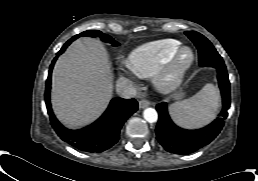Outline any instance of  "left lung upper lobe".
I'll list each match as a JSON object with an SVG mask.
<instances>
[{"mask_svg": "<svg viewBox=\"0 0 258 181\" xmlns=\"http://www.w3.org/2000/svg\"><path fill=\"white\" fill-rule=\"evenodd\" d=\"M185 34L197 47L201 66L225 67L222 57L206 37L196 31H186Z\"/></svg>", "mask_w": 258, "mask_h": 181, "instance_id": "left-lung-upper-lobe-1", "label": "left lung upper lobe"}]
</instances>
